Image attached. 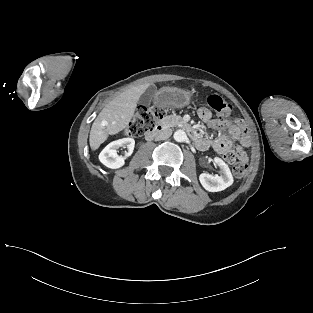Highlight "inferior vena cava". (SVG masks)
Masks as SVG:
<instances>
[{
	"label": "inferior vena cava",
	"mask_w": 313,
	"mask_h": 313,
	"mask_svg": "<svg viewBox=\"0 0 313 313\" xmlns=\"http://www.w3.org/2000/svg\"><path fill=\"white\" fill-rule=\"evenodd\" d=\"M172 134V130L171 129H166L163 130L157 137L156 140H165L167 138H169Z\"/></svg>",
	"instance_id": "602c4592"
}]
</instances>
